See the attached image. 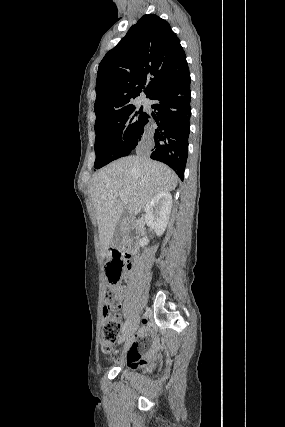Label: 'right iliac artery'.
I'll return each instance as SVG.
<instances>
[{
  "instance_id": "right-iliac-artery-1",
  "label": "right iliac artery",
  "mask_w": 285,
  "mask_h": 427,
  "mask_svg": "<svg viewBox=\"0 0 285 427\" xmlns=\"http://www.w3.org/2000/svg\"><path fill=\"white\" fill-rule=\"evenodd\" d=\"M129 324H130V320L128 319L122 327V332H124L128 328Z\"/></svg>"
}]
</instances>
